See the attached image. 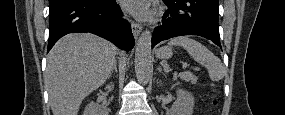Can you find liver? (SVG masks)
Returning <instances> with one entry per match:
<instances>
[{
	"instance_id": "liver-1",
	"label": "liver",
	"mask_w": 285,
	"mask_h": 115,
	"mask_svg": "<svg viewBox=\"0 0 285 115\" xmlns=\"http://www.w3.org/2000/svg\"><path fill=\"white\" fill-rule=\"evenodd\" d=\"M117 48L86 33L61 38L47 56L45 84L53 115H77L83 99L109 77Z\"/></svg>"
}]
</instances>
